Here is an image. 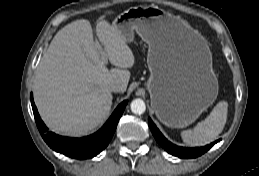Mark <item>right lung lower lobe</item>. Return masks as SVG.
<instances>
[{
    "mask_svg": "<svg viewBox=\"0 0 259 176\" xmlns=\"http://www.w3.org/2000/svg\"><path fill=\"white\" fill-rule=\"evenodd\" d=\"M31 105L38 130L45 142L55 151L76 159H87L99 154L110 142L127 101H123L105 125L96 133L83 138H68L49 132L41 120L31 94Z\"/></svg>",
    "mask_w": 259,
    "mask_h": 176,
    "instance_id": "1",
    "label": "right lung lower lobe"
}]
</instances>
